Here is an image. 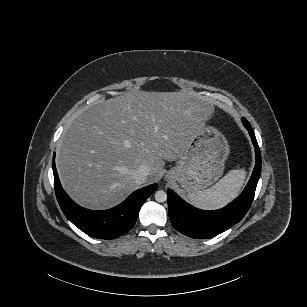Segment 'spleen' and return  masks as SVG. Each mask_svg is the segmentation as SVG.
<instances>
[{
  "mask_svg": "<svg viewBox=\"0 0 307 307\" xmlns=\"http://www.w3.org/2000/svg\"><path fill=\"white\" fill-rule=\"evenodd\" d=\"M246 178L244 169L230 170L219 182L212 187L191 192L187 199L194 206L202 209H218L236 198L241 191Z\"/></svg>",
  "mask_w": 307,
  "mask_h": 307,
  "instance_id": "1",
  "label": "spleen"
}]
</instances>
